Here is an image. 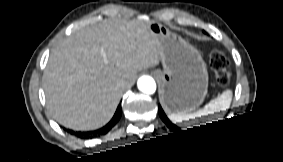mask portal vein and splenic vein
<instances>
[{"label": "portal vein and splenic vein", "instance_id": "obj_1", "mask_svg": "<svg viewBox=\"0 0 283 162\" xmlns=\"http://www.w3.org/2000/svg\"><path fill=\"white\" fill-rule=\"evenodd\" d=\"M102 52H103V48H102ZM103 55L105 56V54L103 53Z\"/></svg>", "mask_w": 283, "mask_h": 162}]
</instances>
